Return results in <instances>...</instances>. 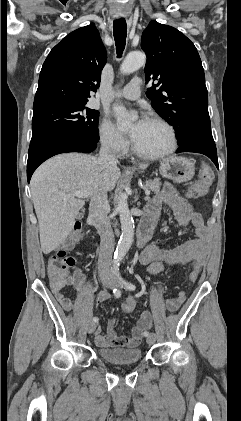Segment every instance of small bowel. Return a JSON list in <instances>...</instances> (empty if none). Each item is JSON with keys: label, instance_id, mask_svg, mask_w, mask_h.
<instances>
[{"label": "small bowel", "instance_id": "obj_1", "mask_svg": "<svg viewBox=\"0 0 241 421\" xmlns=\"http://www.w3.org/2000/svg\"><path fill=\"white\" fill-rule=\"evenodd\" d=\"M163 204L172 210L176 220L182 226L192 225L194 227L195 238L178 245H162L159 242H154L143 250L140 261L143 265H149L153 261H163L169 267L190 265L192 271L197 274L209 250V232L202 215L169 184L149 204L146 215L157 217ZM74 276V280L70 283L74 285L78 292H85L87 287L84 283L82 271L76 270ZM64 286L56 287L52 285V292L60 305L65 310L71 311L74 308V303L71 298L62 294L61 289ZM108 298L109 293L106 291H102L98 295L100 302ZM185 298V292H179L175 297L168 299L166 302L168 311H177L185 301ZM150 325V314L143 312L133 327L131 334L129 336H120L115 331V318L110 317L107 323L106 334H103L101 329L97 328L95 341L100 347L134 348L139 345L145 329L149 328Z\"/></svg>", "mask_w": 241, "mask_h": 421}]
</instances>
